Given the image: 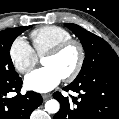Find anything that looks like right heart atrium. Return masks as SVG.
I'll list each match as a JSON object with an SVG mask.
<instances>
[{"label":"right heart atrium","instance_id":"1","mask_svg":"<svg viewBox=\"0 0 119 119\" xmlns=\"http://www.w3.org/2000/svg\"><path fill=\"white\" fill-rule=\"evenodd\" d=\"M9 57L15 70L21 74L30 72L38 62V56L34 49L21 36L12 42Z\"/></svg>","mask_w":119,"mask_h":119}]
</instances>
